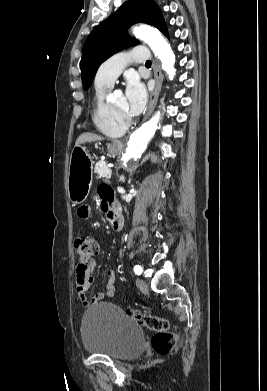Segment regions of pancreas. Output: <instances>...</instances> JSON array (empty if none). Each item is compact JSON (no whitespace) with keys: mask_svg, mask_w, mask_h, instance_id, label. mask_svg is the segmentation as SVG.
<instances>
[{"mask_svg":"<svg viewBox=\"0 0 267 391\" xmlns=\"http://www.w3.org/2000/svg\"><path fill=\"white\" fill-rule=\"evenodd\" d=\"M94 172L98 174L99 177L110 178L111 170L107 167V163L103 160H100L96 163Z\"/></svg>","mask_w":267,"mask_h":391,"instance_id":"1","label":"pancreas"}]
</instances>
